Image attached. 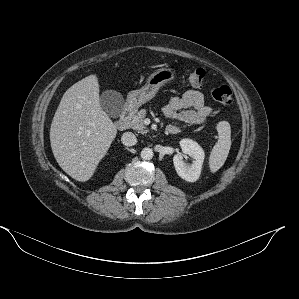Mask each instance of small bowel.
I'll return each instance as SVG.
<instances>
[{
    "label": "small bowel",
    "mask_w": 299,
    "mask_h": 299,
    "mask_svg": "<svg viewBox=\"0 0 299 299\" xmlns=\"http://www.w3.org/2000/svg\"><path fill=\"white\" fill-rule=\"evenodd\" d=\"M166 117L185 124H201L206 122L212 114V108L206 104L205 96L198 90H188L181 96L172 97L163 107ZM178 133L177 125H170Z\"/></svg>",
    "instance_id": "small-bowel-1"
}]
</instances>
